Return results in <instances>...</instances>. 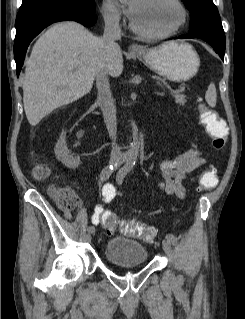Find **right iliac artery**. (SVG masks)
Segmentation results:
<instances>
[{
    "label": "right iliac artery",
    "instance_id": "right-iliac-artery-1",
    "mask_svg": "<svg viewBox=\"0 0 245 319\" xmlns=\"http://www.w3.org/2000/svg\"><path fill=\"white\" fill-rule=\"evenodd\" d=\"M127 160H128L127 157H123L122 158V162H125ZM115 167H116V164H110V165L106 166L105 168H103V170L100 173L101 181H106L107 179H109V177L112 175ZM109 187H110L109 184H106V185L103 186V189H102V194L103 195H107V196L110 195V192L108 190ZM109 200H111V198ZM94 231H95V228L93 226H90L88 228V232L94 233Z\"/></svg>",
    "mask_w": 245,
    "mask_h": 319
}]
</instances>
